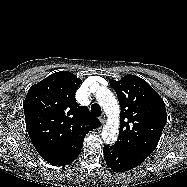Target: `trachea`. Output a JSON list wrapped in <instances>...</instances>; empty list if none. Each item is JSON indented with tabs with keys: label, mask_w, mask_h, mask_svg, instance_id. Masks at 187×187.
Here are the masks:
<instances>
[{
	"label": "trachea",
	"mask_w": 187,
	"mask_h": 187,
	"mask_svg": "<svg viewBox=\"0 0 187 187\" xmlns=\"http://www.w3.org/2000/svg\"><path fill=\"white\" fill-rule=\"evenodd\" d=\"M91 113L96 116L99 117L102 114L101 108L98 104H93L91 106Z\"/></svg>",
	"instance_id": "3493384b"
}]
</instances>
